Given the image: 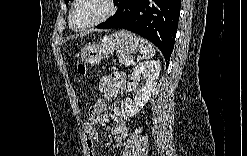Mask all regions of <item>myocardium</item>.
Returning a JSON list of instances; mask_svg holds the SVG:
<instances>
[{"label": "myocardium", "mask_w": 247, "mask_h": 156, "mask_svg": "<svg viewBox=\"0 0 247 156\" xmlns=\"http://www.w3.org/2000/svg\"><path fill=\"white\" fill-rule=\"evenodd\" d=\"M82 1H85V0L75 1L73 3V6H72L70 13H69V24L74 30H85V29L95 27V26L101 24L102 22H104L105 20H107L109 17H111L115 12V2L113 0H101L104 2L105 6H106V12L101 17H99L98 19H96L95 21H93L91 23H88V24L82 25V26H77L73 22V15H74L76 7Z\"/></svg>", "instance_id": "obj_1"}]
</instances>
